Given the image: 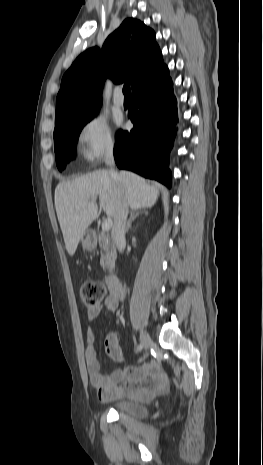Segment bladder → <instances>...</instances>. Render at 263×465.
Here are the masks:
<instances>
[{
	"mask_svg": "<svg viewBox=\"0 0 263 465\" xmlns=\"http://www.w3.org/2000/svg\"><path fill=\"white\" fill-rule=\"evenodd\" d=\"M108 407L120 415L129 416L134 419H143L148 415V408L143 403L135 400H117L111 402Z\"/></svg>",
	"mask_w": 263,
	"mask_h": 465,
	"instance_id": "bladder-1",
	"label": "bladder"
}]
</instances>
